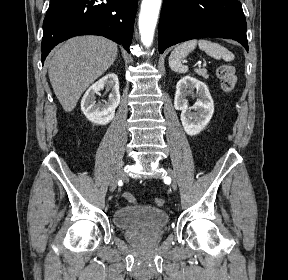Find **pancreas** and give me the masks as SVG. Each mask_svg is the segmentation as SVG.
Wrapping results in <instances>:
<instances>
[{
  "label": "pancreas",
  "mask_w": 288,
  "mask_h": 280,
  "mask_svg": "<svg viewBox=\"0 0 288 280\" xmlns=\"http://www.w3.org/2000/svg\"><path fill=\"white\" fill-rule=\"evenodd\" d=\"M195 72H196L198 75H200V76H202L203 78H205V79H208V77H209L206 69H201V68L195 69Z\"/></svg>",
  "instance_id": "cf45deb5"
}]
</instances>
